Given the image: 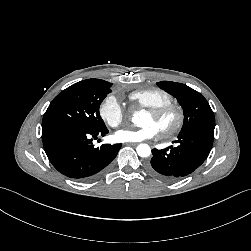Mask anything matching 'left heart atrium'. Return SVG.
<instances>
[{"label": "left heart atrium", "mask_w": 251, "mask_h": 251, "mask_svg": "<svg viewBox=\"0 0 251 251\" xmlns=\"http://www.w3.org/2000/svg\"><path fill=\"white\" fill-rule=\"evenodd\" d=\"M158 132V129L154 125L147 124L140 128H125L118 130L114 137L119 142H140L154 138L157 136Z\"/></svg>", "instance_id": "1"}]
</instances>
